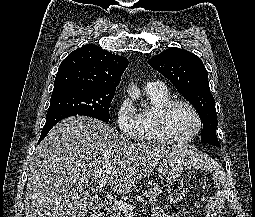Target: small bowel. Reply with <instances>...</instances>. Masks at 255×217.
I'll return each instance as SVG.
<instances>
[{
  "label": "small bowel",
  "mask_w": 255,
  "mask_h": 217,
  "mask_svg": "<svg viewBox=\"0 0 255 217\" xmlns=\"http://www.w3.org/2000/svg\"><path fill=\"white\" fill-rule=\"evenodd\" d=\"M220 210H221V204L219 206L218 212ZM208 214H209V217H212L216 213L210 212V209L208 208ZM151 217H174V216L172 214L163 212V210L160 207L154 206L151 210Z\"/></svg>",
  "instance_id": "1"
}]
</instances>
